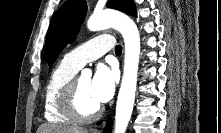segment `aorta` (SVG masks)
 <instances>
[{
	"label": "aorta",
	"instance_id": "1",
	"mask_svg": "<svg viewBox=\"0 0 221 133\" xmlns=\"http://www.w3.org/2000/svg\"><path fill=\"white\" fill-rule=\"evenodd\" d=\"M91 31L110 27L118 30L124 39L125 57L121 86L118 93L114 133H125L133 111L140 57V35L134 21L123 13L105 10L94 13L87 22ZM90 75V70L82 72Z\"/></svg>",
	"mask_w": 221,
	"mask_h": 133
}]
</instances>
